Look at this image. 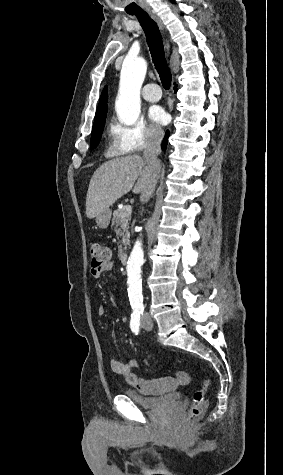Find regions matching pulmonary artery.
Wrapping results in <instances>:
<instances>
[{
  "label": "pulmonary artery",
  "instance_id": "obj_1",
  "mask_svg": "<svg viewBox=\"0 0 283 475\" xmlns=\"http://www.w3.org/2000/svg\"><path fill=\"white\" fill-rule=\"evenodd\" d=\"M120 90H141V89H120ZM144 99L148 102H157L159 101L160 97H158L161 94V89L158 87L156 83H150L147 85V87L144 89Z\"/></svg>",
  "mask_w": 283,
  "mask_h": 475
}]
</instances>
